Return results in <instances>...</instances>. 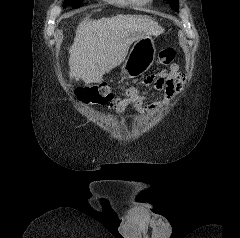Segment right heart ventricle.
I'll return each instance as SVG.
<instances>
[{
  "mask_svg": "<svg viewBox=\"0 0 240 238\" xmlns=\"http://www.w3.org/2000/svg\"><path fill=\"white\" fill-rule=\"evenodd\" d=\"M108 3L120 6V7H128V6H143L146 5L148 0H104Z\"/></svg>",
  "mask_w": 240,
  "mask_h": 238,
  "instance_id": "obj_1",
  "label": "right heart ventricle"
}]
</instances>
